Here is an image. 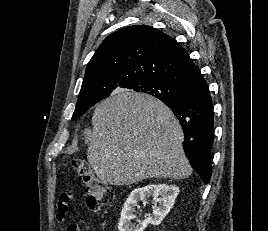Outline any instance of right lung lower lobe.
Instances as JSON below:
<instances>
[{
  "instance_id": "obj_1",
  "label": "right lung lower lobe",
  "mask_w": 268,
  "mask_h": 231,
  "mask_svg": "<svg viewBox=\"0 0 268 231\" xmlns=\"http://www.w3.org/2000/svg\"><path fill=\"white\" fill-rule=\"evenodd\" d=\"M163 101L176 115L184 131L183 147L191 166L203 182L210 180L214 113L212 99L203 77L183 89L178 99Z\"/></svg>"
}]
</instances>
